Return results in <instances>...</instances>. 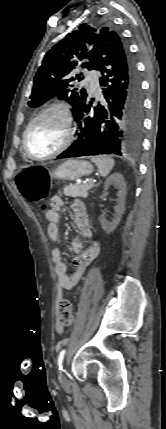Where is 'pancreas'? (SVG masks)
Wrapping results in <instances>:
<instances>
[{
	"label": "pancreas",
	"mask_w": 166,
	"mask_h": 429,
	"mask_svg": "<svg viewBox=\"0 0 166 429\" xmlns=\"http://www.w3.org/2000/svg\"><path fill=\"white\" fill-rule=\"evenodd\" d=\"M94 187L93 182L87 184H70L64 188V195L70 197L86 198L88 191Z\"/></svg>",
	"instance_id": "obj_1"
}]
</instances>
